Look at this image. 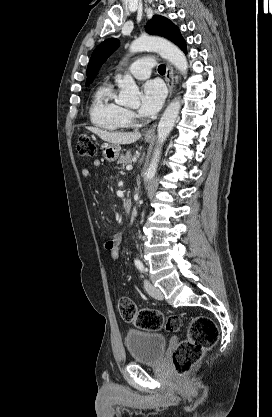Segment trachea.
<instances>
[{
  "instance_id": "3493384b",
  "label": "trachea",
  "mask_w": 272,
  "mask_h": 417,
  "mask_svg": "<svg viewBox=\"0 0 272 417\" xmlns=\"http://www.w3.org/2000/svg\"><path fill=\"white\" fill-rule=\"evenodd\" d=\"M165 71H166V66L165 65H160L158 67V72L159 73H165Z\"/></svg>"
}]
</instances>
